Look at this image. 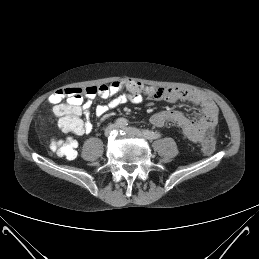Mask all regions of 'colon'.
Here are the masks:
<instances>
[{
    "mask_svg": "<svg viewBox=\"0 0 259 259\" xmlns=\"http://www.w3.org/2000/svg\"><path fill=\"white\" fill-rule=\"evenodd\" d=\"M130 88L133 90H140L139 83H130ZM79 92V90H76ZM78 124L74 118L65 119L62 122V130L65 132H73ZM51 150L58 156L67 159H74L77 155V142L72 137H67L64 140H53L50 142ZM202 150L205 154L211 155L215 151V140L213 136L207 137L202 142Z\"/></svg>",
    "mask_w": 259,
    "mask_h": 259,
    "instance_id": "1",
    "label": "colon"
}]
</instances>
